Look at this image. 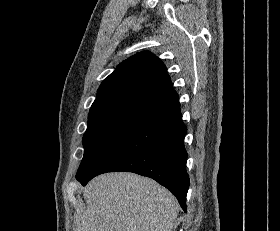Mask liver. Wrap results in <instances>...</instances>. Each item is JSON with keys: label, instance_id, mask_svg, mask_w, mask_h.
Returning <instances> with one entry per match:
<instances>
[{"label": "liver", "instance_id": "obj_1", "mask_svg": "<svg viewBox=\"0 0 280 231\" xmlns=\"http://www.w3.org/2000/svg\"><path fill=\"white\" fill-rule=\"evenodd\" d=\"M83 189L87 207H77L76 231H172L177 199L150 177L103 173Z\"/></svg>", "mask_w": 280, "mask_h": 231}]
</instances>
